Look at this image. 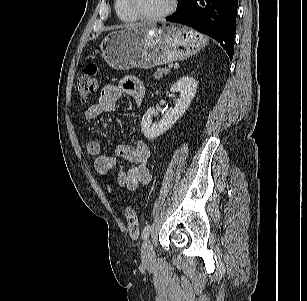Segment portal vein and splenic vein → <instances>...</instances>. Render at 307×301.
<instances>
[{
	"mask_svg": "<svg viewBox=\"0 0 307 301\" xmlns=\"http://www.w3.org/2000/svg\"><path fill=\"white\" fill-rule=\"evenodd\" d=\"M168 67H169V68H172V67H173V64H169Z\"/></svg>",
	"mask_w": 307,
	"mask_h": 301,
	"instance_id": "obj_1",
	"label": "portal vein and splenic vein"
}]
</instances>
